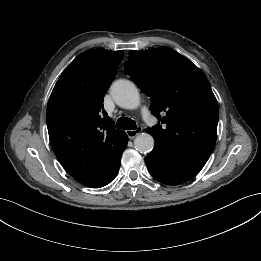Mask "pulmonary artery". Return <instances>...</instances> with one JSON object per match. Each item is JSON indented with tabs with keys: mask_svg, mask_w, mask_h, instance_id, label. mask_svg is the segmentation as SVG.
I'll list each match as a JSON object with an SVG mask.
<instances>
[{
	"mask_svg": "<svg viewBox=\"0 0 261 261\" xmlns=\"http://www.w3.org/2000/svg\"><path fill=\"white\" fill-rule=\"evenodd\" d=\"M142 116L146 121L150 119V114L146 107L142 108Z\"/></svg>",
	"mask_w": 261,
	"mask_h": 261,
	"instance_id": "1",
	"label": "pulmonary artery"
}]
</instances>
